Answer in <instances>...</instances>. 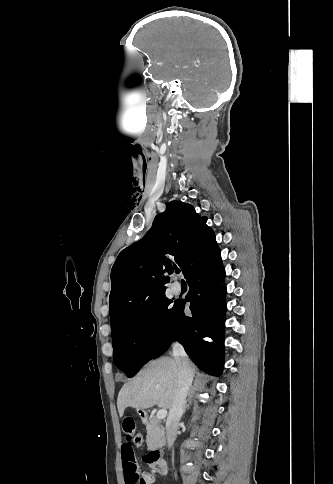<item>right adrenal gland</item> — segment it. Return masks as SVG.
Listing matches in <instances>:
<instances>
[{
	"mask_svg": "<svg viewBox=\"0 0 333 484\" xmlns=\"http://www.w3.org/2000/svg\"><path fill=\"white\" fill-rule=\"evenodd\" d=\"M187 407H188V405H186V406H185V410H184V413L186 412V410H187Z\"/></svg>",
	"mask_w": 333,
	"mask_h": 484,
	"instance_id": "obj_1",
	"label": "right adrenal gland"
}]
</instances>
